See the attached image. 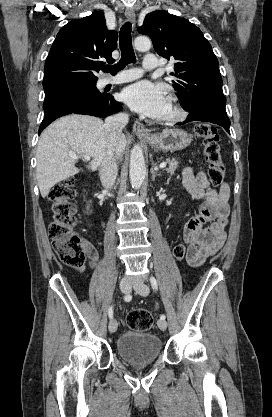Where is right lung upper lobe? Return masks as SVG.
Instances as JSON below:
<instances>
[{"mask_svg": "<svg viewBox=\"0 0 272 417\" xmlns=\"http://www.w3.org/2000/svg\"><path fill=\"white\" fill-rule=\"evenodd\" d=\"M117 32L106 28L104 14L75 19L58 32L45 63L44 90L64 85L96 83L95 71L113 60Z\"/></svg>", "mask_w": 272, "mask_h": 417, "instance_id": "obj_1", "label": "right lung upper lobe"}]
</instances>
